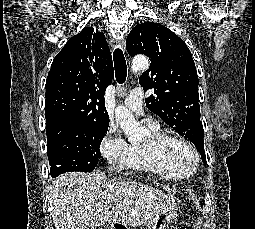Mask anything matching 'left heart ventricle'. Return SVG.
Wrapping results in <instances>:
<instances>
[{
    "label": "left heart ventricle",
    "instance_id": "1",
    "mask_svg": "<svg viewBox=\"0 0 255 229\" xmlns=\"http://www.w3.org/2000/svg\"><path fill=\"white\" fill-rule=\"evenodd\" d=\"M170 159L179 165L188 164L192 160L191 152L178 142H170L164 147Z\"/></svg>",
    "mask_w": 255,
    "mask_h": 229
}]
</instances>
